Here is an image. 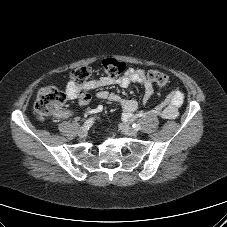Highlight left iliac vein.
I'll return each mask as SVG.
<instances>
[{
  "label": "left iliac vein",
  "mask_w": 227,
  "mask_h": 227,
  "mask_svg": "<svg viewBox=\"0 0 227 227\" xmlns=\"http://www.w3.org/2000/svg\"><path fill=\"white\" fill-rule=\"evenodd\" d=\"M120 129L125 135L128 136H136L138 134L137 130L124 123L120 124Z\"/></svg>",
  "instance_id": "obj_1"
}]
</instances>
